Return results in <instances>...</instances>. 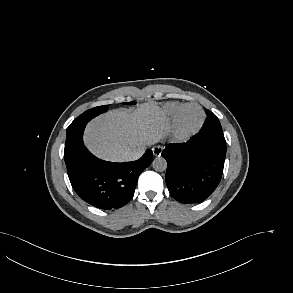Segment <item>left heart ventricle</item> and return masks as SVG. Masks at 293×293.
<instances>
[{
	"instance_id": "1",
	"label": "left heart ventricle",
	"mask_w": 293,
	"mask_h": 293,
	"mask_svg": "<svg viewBox=\"0 0 293 293\" xmlns=\"http://www.w3.org/2000/svg\"><path fill=\"white\" fill-rule=\"evenodd\" d=\"M201 119V112L196 107L186 108L182 113V125L189 129L196 126Z\"/></svg>"
}]
</instances>
